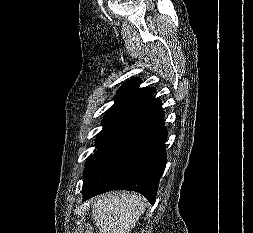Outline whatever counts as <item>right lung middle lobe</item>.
Here are the masks:
<instances>
[{"label": "right lung middle lobe", "mask_w": 253, "mask_h": 233, "mask_svg": "<svg viewBox=\"0 0 253 233\" xmlns=\"http://www.w3.org/2000/svg\"><path fill=\"white\" fill-rule=\"evenodd\" d=\"M135 104L115 103L108 111L102 121L103 129L96 140L98 148L101 143L113 132V130L127 117L133 110Z\"/></svg>", "instance_id": "right-lung-middle-lobe-1"}]
</instances>
